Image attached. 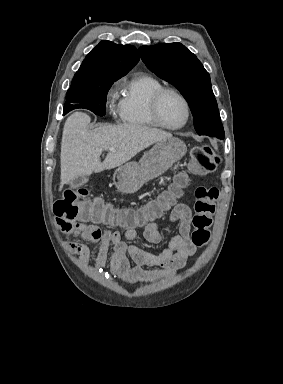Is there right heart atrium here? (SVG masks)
<instances>
[{
	"label": "right heart atrium",
	"instance_id": "d8ad5b80",
	"mask_svg": "<svg viewBox=\"0 0 283 384\" xmlns=\"http://www.w3.org/2000/svg\"><path fill=\"white\" fill-rule=\"evenodd\" d=\"M118 83L117 82H114L110 85V87L108 88L107 90V94H108V97L110 98V103H109V109L111 111V113L113 115L116 114L117 112V109L115 108V106L113 105V99L116 97L117 95V92H118Z\"/></svg>",
	"mask_w": 283,
	"mask_h": 384
}]
</instances>
